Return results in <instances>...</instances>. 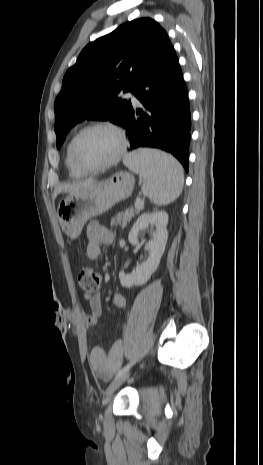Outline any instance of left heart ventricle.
<instances>
[{
  "label": "left heart ventricle",
  "instance_id": "b2bd125f",
  "mask_svg": "<svg viewBox=\"0 0 263 465\" xmlns=\"http://www.w3.org/2000/svg\"><path fill=\"white\" fill-rule=\"evenodd\" d=\"M119 141L116 135L105 128L85 132L77 144L79 161L87 167H96L111 160L117 153Z\"/></svg>",
  "mask_w": 263,
  "mask_h": 465
}]
</instances>
